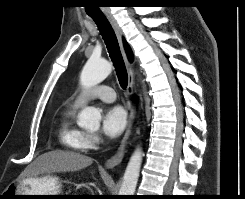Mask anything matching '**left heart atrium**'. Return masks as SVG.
Returning <instances> with one entry per match:
<instances>
[{
	"instance_id": "obj_1",
	"label": "left heart atrium",
	"mask_w": 245,
	"mask_h": 199,
	"mask_svg": "<svg viewBox=\"0 0 245 199\" xmlns=\"http://www.w3.org/2000/svg\"><path fill=\"white\" fill-rule=\"evenodd\" d=\"M126 123V112L122 107H109L103 114L102 132L109 138H116L123 132Z\"/></svg>"
}]
</instances>
